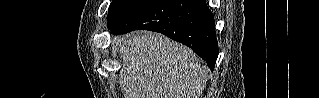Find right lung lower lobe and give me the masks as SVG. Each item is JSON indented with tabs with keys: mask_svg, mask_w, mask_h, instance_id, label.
<instances>
[{
	"mask_svg": "<svg viewBox=\"0 0 319 98\" xmlns=\"http://www.w3.org/2000/svg\"><path fill=\"white\" fill-rule=\"evenodd\" d=\"M109 29L117 35L138 29L160 32L189 46L210 69L218 56L214 16L205 0H149Z\"/></svg>",
	"mask_w": 319,
	"mask_h": 98,
	"instance_id": "1",
	"label": "right lung lower lobe"
}]
</instances>
